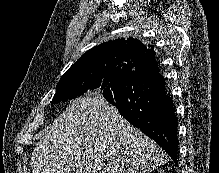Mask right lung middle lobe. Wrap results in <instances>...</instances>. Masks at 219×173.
<instances>
[{
    "label": "right lung middle lobe",
    "instance_id": "dd1d6c3e",
    "mask_svg": "<svg viewBox=\"0 0 219 173\" xmlns=\"http://www.w3.org/2000/svg\"><path fill=\"white\" fill-rule=\"evenodd\" d=\"M129 64L110 62L65 73L56 86L52 104L76 98L87 91L109 93L123 76L133 71Z\"/></svg>",
    "mask_w": 219,
    "mask_h": 173
}]
</instances>
